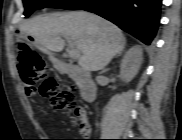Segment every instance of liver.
Segmentation results:
<instances>
[{
  "mask_svg": "<svg viewBox=\"0 0 182 140\" xmlns=\"http://www.w3.org/2000/svg\"><path fill=\"white\" fill-rule=\"evenodd\" d=\"M20 31L46 53L62 51V37H69L79 53L78 65L87 72L105 68L126 44L120 28L85 11L40 15L23 23Z\"/></svg>",
  "mask_w": 182,
  "mask_h": 140,
  "instance_id": "6515ba94",
  "label": "liver"
}]
</instances>
